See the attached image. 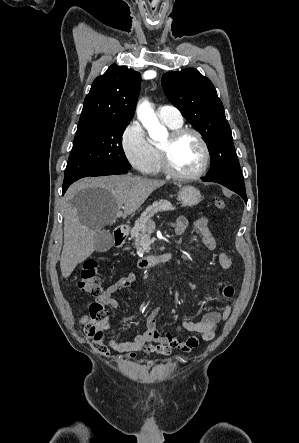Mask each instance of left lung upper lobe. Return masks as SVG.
I'll list each match as a JSON object with an SVG mask.
<instances>
[{
    "label": "left lung upper lobe",
    "mask_w": 299,
    "mask_h": 443,
    "mask_svg": "<svg viewBox=\"0 0 299 443\" xmlns=\"http://www.w3.org/2000/svg\"><path fill=\"white\" fill-rule=\"evenodd\" d=\"M162 87L168 100L204 137L211 157L208 177L243 179L223 104L212 82L194 68L167 72Z\"/></svg>",
    "instance_id": "obj_1"
}]
</instances>
